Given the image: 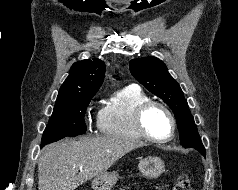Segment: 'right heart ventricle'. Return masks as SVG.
Listing matches in <instances>:
<instances>
[{
    "label": "right heart ventricle",
    "mask_w": 238,
    "mask_h": 190,
    "mask_svg": "<svg viewBox=\"0 0 238 190\" xmlns=\"http://www.w3.org/2000/svg\"><path fill=\"white\" fill-rule=\"evenodd\" d=\"M149 97L137 86H126L116 91L99 110L97 126L107 136L143 140L138 132L134 116L136 109Z\"/></svg>",
    "instance_id": "1"
}]
</instances>
